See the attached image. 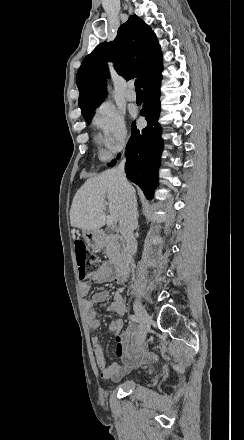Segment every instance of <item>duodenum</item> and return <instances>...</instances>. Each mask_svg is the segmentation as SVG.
Segmentation results:
<instances>
[{
    "label": "duodenum",
    "instance_id": "obj_1",
    "mask_svg": "<svg viewBox=\"0 0 244 440\" xmlns=\"http://www.w3.org/2000/svg\"><path fill=\"white\" fill-rule=\"evenodd\" d=\"M102 238V232H96L93 236L92 242L98 246ZM132 264V258L123 254L117 259V263L115 264V268L119 273H126Z\"/></svg>",
    "mask_w": 244,
    "mask_h": 440
}]
</instances>
